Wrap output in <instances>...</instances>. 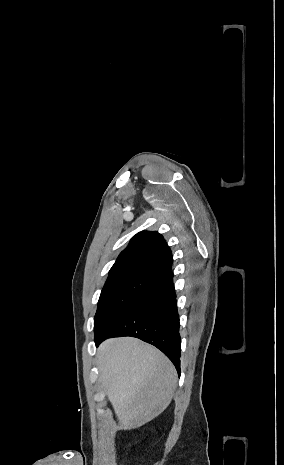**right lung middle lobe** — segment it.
Instances as JSON below:
<instances>
[{
    "label": "right lung middle lobe",
    "mask_w": 284,
    "mask_h": 465,
    "mask_svg": "<svg viewBox=\"0 0 284 465\" xmlns=\"http://www.w3.org/2000/svg\"><path fill=\"white\" fill-rule=\"evenodd\" d=\"M155 281L138 277L107 279L94 317L95 337L129 308Z\"/></svg>",
    "instance_id": "dd1d6c3e"
}]
</instances>
